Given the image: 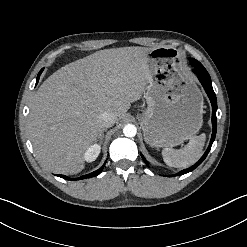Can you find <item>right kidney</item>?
Listing matches in <instances>:
<instances>
[{
	"mask_svg": "<svg viewBox=\"0 0 247 247\" xmlns=\"http://www.w3.org/2000/svg\"><path fill=\"white\" fill-rule=\"evenodd\" d=\"M100 149L101 147L99 144L91 145L84 153V160L87 162H93L98 157Z\"/></svg>",
	"mask_w": 247,
	"mask_h": 247,
	"instance_id": "ca27d5eb",
	"label": "right kidney"
}]
</instances>
